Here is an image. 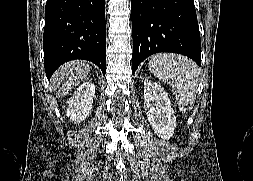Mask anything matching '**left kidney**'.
I'll return each instance as SVG.
<instances>
[{
	"label": "left kidney",
	"instance_id": "left-kidney-1",
	"mask_svg": "<svg viewBox=\"0 0 253 181\" xmlns=\"http://www.w3.org/2000/svg\"><path fill=\"white\" fill-rule=\"evenodd\" d=\"M144 108L148 121L162 139H170L176 127V117L167 92L157 83L144 81Z\"/></svg>",
	"mask_w": 253,
	"mask_h": 181
}]
</instances>
